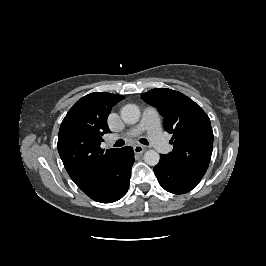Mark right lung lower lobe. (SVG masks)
Segmentation results:
<instances>
[{
    "mask_svg": "<svg viewBox=\"0 0 266 266\" xmlns=\"http://www.w3.org/2000/svg\"><path fill=\"white\" fill-rule=\"evenodd\" d=\"M133 163V148L130 146L120 148L102 187L89 197L101 203H111L122 198L129 187Z\"/></svg>",
    "mask_w": 266,
    "mask_h": 266,
    "instance_id": "1",
    "label": "right lung lower lobe"
}]
</instances>
